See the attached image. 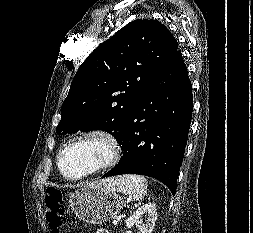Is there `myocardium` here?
Here are the masks:
<instances>
[{"label":"myocardium","instance_id":"obj_1","mask_svg":"<svg viewBox=\"0 0 253 233\" xmlns=\"http://www.w3.org/2000/svg\"><path fill=\"white\" fill-rule=\"evenodd\" d=\"M88 140H99L106 143L109 148V154L107 158L105 159L104 162L98 164L96 167L83 174H80L78 176L67 175L62 169V157L64 153L72 145ZM121 155H122L121 143L113 132L101 128L91 129L71 138L63 145V147L60 149L57 155L56 160L57 169L64 179L72 182L79 181L92 175H95L103 170L112 168L119 162Z\"/></svg>","mask_w":253,"mask_h":233}]
</instances>
